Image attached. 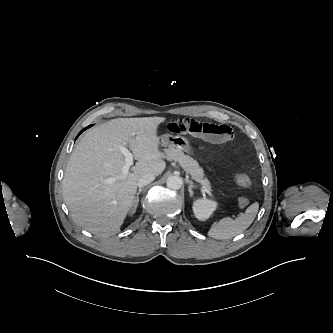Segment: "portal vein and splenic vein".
<instances>
[{"label": "portal vein and splenic vein", "instance_id": "1", "mask_svg": "<svg viewBox=\"0 0 333 333\" xmlns=\"http://www.w3.org/2000/svg\"><path fill=\"white\" fill-rule=\"evenodd\" d=\"M119 150L125 157V164L123 166V175L126 176L129 173L130 166L133 164V154L123 144L119 146ZM114 180H115L114 178L110 177L105 179L103 182L109 184L112 183Z\"/></svg>", "mask_w": 333, "mask_h": 333}]
</instances>
